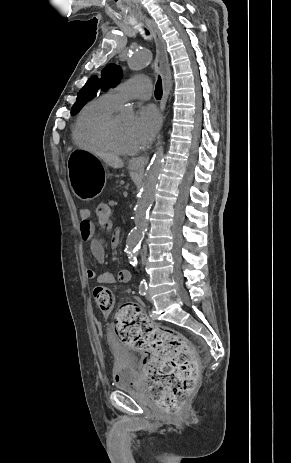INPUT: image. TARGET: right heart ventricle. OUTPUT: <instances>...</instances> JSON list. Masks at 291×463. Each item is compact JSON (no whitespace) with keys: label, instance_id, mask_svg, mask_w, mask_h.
Here are the masks:
<instances>
[{"label":"right heart ventricle","instance_id":"right-heart-ventricle-1","mask_svg":"<svg viewBox=\"0 0 291 463\" xmlns=\"http://www.w3.org/2000/svg\"><path fill=\"white\" fill-rule=\"evenodd\" d=\"M119 104L112 98L110 92L86 104L79 112L72 130L74 143L92 151L109 150L98 137V126L115 113Z\"/></svg>","mask_w":291,"mask_h":463}]
</instances>
